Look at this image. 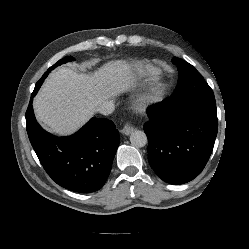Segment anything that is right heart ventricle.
<instances>
[{
	"mask_svg": "<svg viewBox=\"0 0 249 249\" xmlns=\"http://www.w3.org/2000/svg\"><path fill=\"white\" fill-rule=\"evenodd\" d=\"M138 73L148 79H156L160 76L161 72L157 67L140 65L138 67Z\"/></svg>",
	"mask_w": 249,
	"mask_h": 249,
	"instance_id": "1",
	"label": "right heart ventricle"
}]
</instances>
